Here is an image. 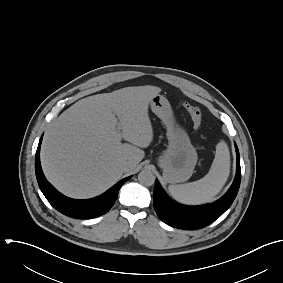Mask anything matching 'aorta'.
Returning a JSON list of instances; mask_svg holds the SVG:
<instances>
[{
  "label": "aorta",
  "mask_w": 283,
  "mask_h": 283,
  "mask_svg": "<svg viewBox=\"0 0 283 283\" xmlns=\"http://www.w3.org/2000/svg\"><path fill=\"white\" fill-rule=\"evenodd\" d=\"M138 180L144 186H151L155 182V176L150 170H143L138 174Z\"/></svg>",
  "instance_id": "1"
}]
</instances>
